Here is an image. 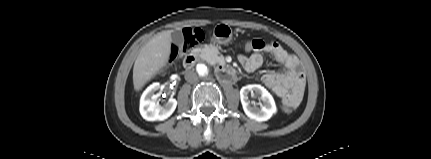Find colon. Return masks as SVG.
<instances>
[{"mask_svg": "<svg viewBox=\"0 0 431 159\" xmlns=\"http://www.w3.org/2000/svg\"><path fill=\"white\" fill-rule=\"evenodd\" d=\"M203 33L200 30L189 31L185 34V41L182 46H173L172 48V58L177 57L180 53L187 51L190 46H193L196 42L201 40ZM254 41L252 39H247L244 44V52L250 53ZM286 112H291L287 107L283 106Z\"/></svg>", "mask_w": 431, "mask_h": 159, "instance_id": "obj_1", "label": "colon"}]
</instances>
